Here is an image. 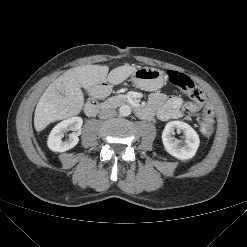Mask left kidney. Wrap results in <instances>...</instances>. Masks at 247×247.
<instances>
[{
	"instance_id": "1",
	"label": "left kidney",
	"mask_w": 247,
	"mask_h": 247,
	"mask_svg": "<svg viewBox=\"0 0 247 247\" xmlns=\"http://www.w3.org/2000/svg\"><path fill=\"white\" fill-rule=\"evenodd\" d=\"M175 129L183 132L185 138L183 145H180L172 137ZM162 141L165 150L179 160H187L194 157L200 143L196 131L189 124L182 121L168 122L162 133Z\"/></svg>"
}]
</instances>
